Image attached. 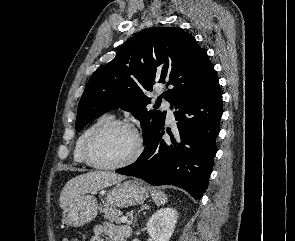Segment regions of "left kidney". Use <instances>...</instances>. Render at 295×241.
I'll use <instances>...</instances> for the list:
<instances>
[{"label":"left kidney","mask_w":295,"mask_h":241,"mask_svg":"<svg viewBox=\"0 0 295 241\" xmlns=\"http://www.w3.org/2000/svg\"><path fill=\"white\" fill-rule=\"evenodd\" d=\"M178 213L173 208L157 210L146 224L147 233L153 241H169L177 223Z\"/></svg>","instance_id":"5707ae66"}]
</instances>
